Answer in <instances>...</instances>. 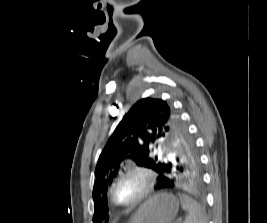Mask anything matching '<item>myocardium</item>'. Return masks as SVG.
Returning a JSON list of instances; mask_svg holds the SVG:
<instances>
[{
  "label": "myocardium",
  "instance_id": "myocardium-1",
  "mask_svg": "<svg viewBox=\"0 0 267 223\" xmlns=\"http://www.w3.org/2000/svg\"><path fill=\"white\" fill-rule=\"evenodd\" d=\"M138 176L143 181V187L139 194L129 201H120L116 197L115 188L117 184L126 177ZM156 175L153 170L141 165H130L125 170L118 173L110 185V196L112 201L122 207H132L143 201L154 189Z\"/></svg>",
  "mask_w": 267,
  "mask_h": 223
}]
</instances>
